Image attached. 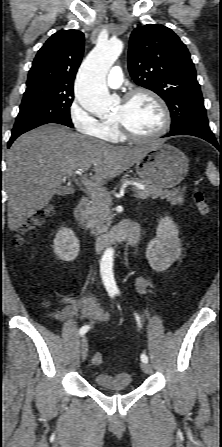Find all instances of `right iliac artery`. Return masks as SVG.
I'll list each match as a JSON object with an SVG mask.
<instances>
[{"label":"right iliac artery","instance_id":"82829eb1","mask_svg":"<svg viewBox=\"0 0 222 447\" xmlns=\"http://www.w3.org/2000/svg\"><path fill=\"white\" fill-rule=\"evenodd\" d=\"M110 296L113 297L114 294L111 293ZM89 329H90V326H89V325H84V326H82V327L80 328V330H79V334L82 336V335H84L86 332H88Z\"/></svg>","mask_w":222,"mask_h":447}]
</instances>
